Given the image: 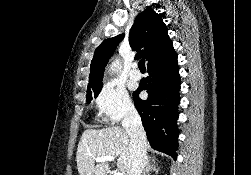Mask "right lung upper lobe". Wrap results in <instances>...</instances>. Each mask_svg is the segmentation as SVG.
Listing matches in <instances>:
<instances>
[{
  "instance_id": "cb5924a9",
  "label": "right lung upper lobe",
  "mask_w": 251,
  "mask_h": 175,
  "mask_svg": "<svg viewBox=\"0 0 251 175\" xmlns=\"http://www.w3.org/2000/svg\"><path fill=\"white\" fill-rule=\"evenodd\" d=\"M163 14H157L151 9L140 13L130 29L129 44L134 51L139 50L136 59L144 57L147 66H157L176 56L171 39L168 36V28L163 23ZM124 35L104 40L95 50L91 61L88 88L102 86L105 66L122 41Z\"/></svg>"
}]
</instances>
